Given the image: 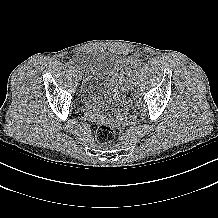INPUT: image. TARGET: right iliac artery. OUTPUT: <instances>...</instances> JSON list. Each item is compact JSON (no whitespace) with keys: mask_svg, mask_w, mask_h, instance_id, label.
Wrapping results in <instances>:
<instances>
[{"mask_svg":"<svg viewBox=\"0 0 218 218\" xmlns=\"http://www.w3.org/2000/svg\"><path fill=\"white\" fill-rule=\"evenodd\" d=\"M67 65H68L69 68H72V67H73V63H72L71 61L68 62Z\"/></svg>","mask_w":218,"mask_h":218,"instance_id":"1","label":"right iliac artery"}]
</instances>
